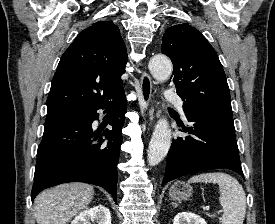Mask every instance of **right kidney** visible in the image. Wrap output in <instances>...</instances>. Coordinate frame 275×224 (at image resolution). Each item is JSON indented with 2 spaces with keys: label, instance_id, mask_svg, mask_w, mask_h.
Segmentation results:
<instances>
[{
  "label": "right kidney",
  "instance_id": "ca27d5eb",
  "mask_svg": "<svg viewBox=\"0 0 275 224\" xmlns=\"http://www.w3.org/2000/svg\"><path fill=\"white\" fill-rule=\"evenodd\" d=\"M111 224V214L107 207L98 205L81 212L71 224Z\"/></svg>",
  "mask_w": 275,
  "mask_h": 224
}]
</instances>
